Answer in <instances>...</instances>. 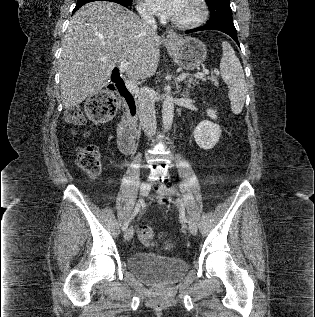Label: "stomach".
Segmentation results:
<instances>
[{"label":"stomach","mask_w":315,"mask_h":317,"mask_svg":"<svg viewBox=\"0 0 315 317\" xmlns=\"http://www.w3.org/2000/svg\"><path fill=\"white\" fill-rule=\"evenodd\" d=\"M165 45L174 62L185 70L199 67L207 56L204 43L193 37L174 36Z\"/></svg>","instance_id":"1"}]
</instances>
